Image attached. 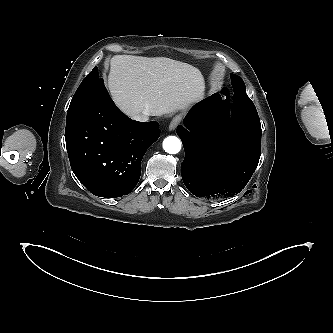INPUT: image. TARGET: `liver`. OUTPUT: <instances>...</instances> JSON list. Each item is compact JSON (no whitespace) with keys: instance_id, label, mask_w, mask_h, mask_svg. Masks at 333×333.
<instances>
[{"instance_id":"6515ba94","label":"liver","mask_w":333,"mask_h":333,"mask_svg":"<svg viewBox=\"0 0 333 333\" xmlns=\"http://www.w3.org/2000/svg\"><path fill=\"white\" fill-rule=\"evenodd\" d=\"M108 88L116 105L129 117L185 110L205 90L194 66L166 57L116 55L110 60Z\"/></svg>"}]
</instances>
